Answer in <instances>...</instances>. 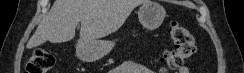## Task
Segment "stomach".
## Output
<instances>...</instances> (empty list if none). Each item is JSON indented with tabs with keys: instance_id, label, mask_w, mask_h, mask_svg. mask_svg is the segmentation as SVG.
<instances>
[{
	"instance_id": "1",
	"label": "stomach",
	"mask_w": 244,
	"mask_h": 73,
	"mask_svg": "<svg viewBox=\"0 0 244 73\" xmlns=\"http://www.w3.org/2000/svg\"><path fill=\"white\" fill-rule=\"evenodd\" d=\"M166 16L165 9L156 1L147 0L142 3L138 11L140 23L147 29L158 28ZM113 41L92 40L79 41L76 54L82 61L92 62L107 55L114 47Z\"/></svg>"
}]
</instances>
